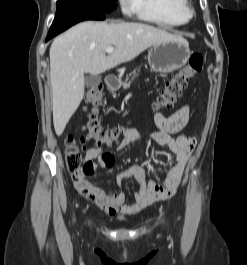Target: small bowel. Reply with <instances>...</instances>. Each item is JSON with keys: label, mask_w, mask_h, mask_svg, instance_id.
Listing matches in <instances>:
<instances>
[{"label": "small bowel", "mask_w": 247, "mask_h": 265, "mask_svg": "<svg viewBox=\"0 0 247 265\" xmlns=\"http://www.w3.org/2000/svg\"><path fill=\"white\" fill-rule=\"evenodd\" d=\"M190 112V106L184 105L170 116H165L161 112H157L154 116L155 124L159 130L151 133L148 140L157 145L167 146L175 155V163L161 183H157L152 178L147 181L144 166L134 164L124 169L116 177L119 187H122L125 179H133L135 183L133 201L128 202L122 190L104 191L92 185L86 179L87 175L96 168H109L115 163L113 154L103 152L99 147H93L86 152L85 156V162L92 166L91 173L72 174V181L76 190L80 195L95 202L104 212L112 216L135 214L156 201L173 196L179 187L189 157L196 146V140L192 137L174 136L188 124ZM138 139V132L129 129L125 134L121 149Z\"/></svg>", "instance_id": "obj_1"}]
</instances>
